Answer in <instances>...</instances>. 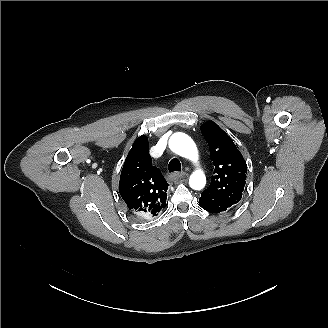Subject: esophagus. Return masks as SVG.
Returning a JSON list of instances; mask_svg holds the SVG:
<instances>
[{
    "label": "esophagus",
    "mask_w": 328,
    "mask_h": 328,
    "mask_svg": "<svg viewBox=\"0 0 328 328\" xmlns=\"http://www.w3.org/2000/svg\"><path fill=\"white\" fill-rule=\"evenodd\" d=\"M186 173H180V172H173L169 175V178L174 180V179H180L183 178L184 176H186Z\"/></svg>",
    "instance_id": "1"
}]
</instances>
